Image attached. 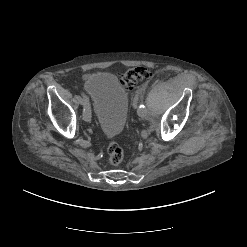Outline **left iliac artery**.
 Here are the masks:
<instances>
[{"mask_svg": "<svg viewBox=\"0 0 247 247\" xmlns=\"http://www.w3.org/2000/svg\"><path fill=\"white\" fill-rule=\"evenodd\" d=\"M144 89H145V87H144ZM141 97H143V96H141ZM144 109H145V105H144L143 102H141V103H140V106H139V110L142 111V110H144Z\"/></svg>", "mask_w": 247, "mask_h": 247, "instance_id": "1", "label": "left iliac artery"}]
</instances>
